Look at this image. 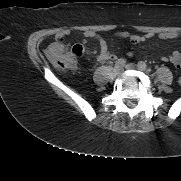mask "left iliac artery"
<instances>
[{"label":"left iliac artery","mask_w":181,"mask_h":181,"mask_svg":"<svg viewBox=\"0 0 181 181\" xmlns=\"http://www.w3.org/2000/svg\"><path fill=\"white\" fill-rule=\"evenodd\" d=\"M138 67L141 68L142 70H145V69L147 68V65H146L145 62L140 61V62L138 63Z\"/></svg>","instance_id":"left-iliac-artery-1"}]
</instances>
